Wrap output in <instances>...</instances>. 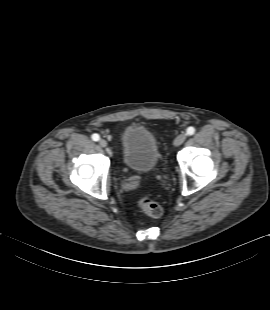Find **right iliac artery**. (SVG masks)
Returning a JSON list of instances; mask_svg holds the SVG:
<instances>
[{
	"mask_svg": "<svg viewBox=\"0 0 270 310\" xmlns=\"http://www.w3.org/2000/svg\"><path fill=\"white\" fill-rule=\"evenodd\" d=\"M92 139H93L94 141H98V140L100 139V136H99L98 134H93V135H92Z\"/></svg>",
	"mask_w": 270,
	"mask_h": 310,
	"instance_id": "right-iliac-artery-1",
	"label": "right iliac artery"
}]
</instances>
